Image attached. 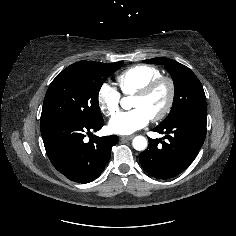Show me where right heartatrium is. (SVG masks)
Returning <instances> with one entry per match:
<instances>
[{
	"label": "right heart atrium",
	"mask_w": 236,
	"mask_h": 236,
	"mask_svg": "<svg viewBox=\"0 0 236 236\" xmlns=\"http://www.w3.org/2000/svg\"><path fill=\"white\" fill-rule=\"evenodd\" d=\"M120 92L109 83H103L97 92V102L105 116L114 115L120 106Z\"/></svg>",
	"instance_id": "obj_1"
}]
</instances>
